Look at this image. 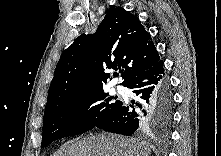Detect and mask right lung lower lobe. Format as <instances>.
<instances>
[{
	"label": "right lung lower lobe",
	"mask_w": 221,
	"mask_h": 156,
	"mask_svg": "<svg viewBox=\"0 0 221 156\" xmlns=\"http://www.w3.org/2000/svg\"><path fill=\"white\" fill-rule=\"evenodd\" d=\"M125 86L139 96V101L132 104L140 110L122 102L114 113L95 127L131 136L139 128L169 126L173 110L172 91L161 60L133 77Z\"/></svg>",
	"instance_id": "obj_1"
}]
</instances>
